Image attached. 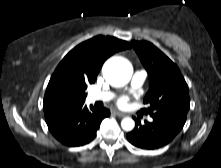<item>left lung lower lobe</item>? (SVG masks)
I'll use <instances>...</instances> for the list:
<instances>
[{
    "mask_svg": "<svg viewBox=\"0 0 221 168\" xmlns=\"http://www.w3.org/2000/svg\"><path fill=\"white\" fill-rule=\"evenodd\" d=\"M135 128L127 134L128 141L142 149H158L167 145L180 132L183 126L166 120L153 118L152 122L135 119Z\"/></svg>",
    "mask_w": 221,
    "mask_h": 168,
    "instance_id": "left-lung-lower-lobe-1",
    "label": "left lung lower lobe"
}]
</instances>
